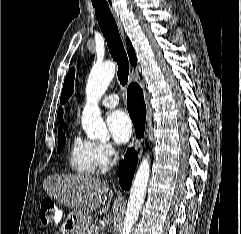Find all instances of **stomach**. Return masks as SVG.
<instances>
[{"instance_id": "stomach-1", "label": "stomach", "mask_w": 241, "mask_h": 234, "mask_svg": "<svg viewBox=\"0 0 241 234\" xmlns=\"http://www.w3.org/2000/svg\"><path fill=\"white\" fill-rule=\"evenodd\" d=\"M89 225L88 215L83 211H74L62 226L63 234H83Z\"/></svg>"}]
</instances>
